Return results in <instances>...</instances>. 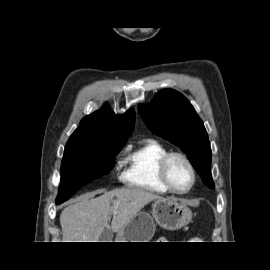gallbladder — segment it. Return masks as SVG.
<instances>
[{"label":"gallbladder","instance_id":"gallbladder-1","mask_svg":"<svg viewBox=\"0 0 270 270\" xmlns=\"http://www.w3.org/2000/svg\"><path fill=\"white\" fill-rule=\"evenodd\" d=\"M113 233L110 229H104L99 237V242H111Z\"/></svg>","mask_w":270,"mask_h":270}]
</instances>
